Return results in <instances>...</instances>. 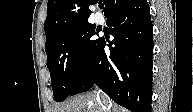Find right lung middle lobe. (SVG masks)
<instances>
[{"instance_id": "dd1d6c3e", "label": "right lung middle lobe", "mask_w": 193, "mask_h": 112, "mask_svg": "<svg viewBox=\"0 0 193 112\" xmlns=\"http://www.w3.org/2000/svg\"><path fill=\"white\" fill-rule=\"evenodd\" d=\"M97 34L96 27L89 23L67 28L46 42L47 67L55 101L70 96L82 78L102 43V38H94Z\"/></svg>"}]
</instances>
